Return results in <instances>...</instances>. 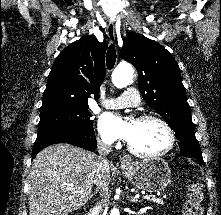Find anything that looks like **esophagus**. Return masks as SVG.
Wrapping results in <instances>:
<instances>
[{
  "label": "esophagus",
  "instance_id": "34e87169",
  "mask_svg": "<svg viewBox=\"0 0 221 215\" xmlns=\"http://www.w3.org/2000/svg\"><path fill=\"white\" fill-rule=\"evenodd\" d=\"M107 35L111 43L116 42V35H115V25L112 21L108 23L107 26ZM131 161V158L128 155H123L120 157L121 165H128Z\"/></svg>",
  "mask_w": 221,
  "mask_h": 215
}]
</instances>
